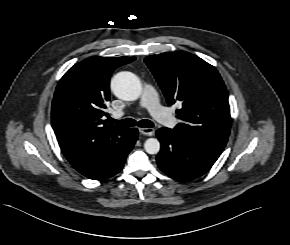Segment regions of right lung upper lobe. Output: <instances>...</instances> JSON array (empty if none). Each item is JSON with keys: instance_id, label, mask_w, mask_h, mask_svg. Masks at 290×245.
<instances>
[{"instance_id": "obj_1", "label": "right lung upper lobe", "mask_w": 290, "mask_h": 245, "mask_svg": "<svg viewBox=\"0 0 290 245\" xmlns=\"http://www.w3.org/2000/svg\"><path fill=\"white\" fill-rule=\"evenodd\" d=\"M135 57H95L71 67L56 88L51 122L70 164L90 178L113 165L126 151L131 128L107 124L106 104L113 71Z\"/></svg>"}]
</instances>
